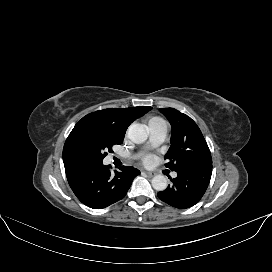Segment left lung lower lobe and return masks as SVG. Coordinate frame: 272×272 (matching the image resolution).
Wrapping results in <instances>:
<instances>
[{
	"label": "left lung lower lobe",
	"instance_id": "1",
	"mask_svg": "<svg viewBox=\"0 0 272 272\" xmlns=\"http://www.w3.org/2000/svg\"><path fill=\"white\" fill-rule=\"evenodd\" d=\"M178 176L171 179L172 186L158 192L163 202L179 209L194 206L204 195L212 174V165L185 167L176 171Z\"/></svg>",
	"mask_w": 272,
	"mask_h": 272
}]
</instances>
